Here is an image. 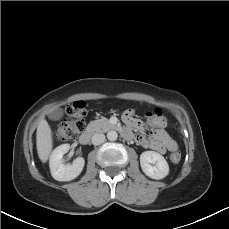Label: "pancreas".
<instances>
[{
  "instance_id": "cf45deb5",
  "label": "pancreas",
  "mask_w": 229,
  "mask_h": 229,
  "mask_svg": "<svg viewBox=\"0 0 229 229\" xmlns=\"http://www.w3.org/2000/svg\"><path fill=\"white\" fill-rule=\"evenodd\" d=\"M114 126L110 124L107 118H101L89 123L87 130L91 132H106Z\"/></svg>"
}]
</instances>
